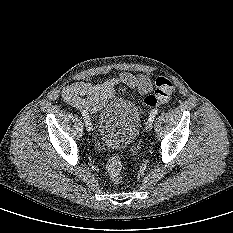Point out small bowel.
<instances>
[{
    "instance_id": "obj_1",
    "label": "small bowel",
    "mask_w": 233,
    "mask_h": 233,
    "mask_svg": "<svg viewBox=\"0 0 233 233\" xmlns=\"http://www.w3.org/2000/svg\"><path fill=\"white\" fill-rule=\"evenodd\" d=\"M122 83L123 88H137L145 95L151 92V80L145 75L122 73L119 78L93 85L85 82L73 83L62 91L63 99L76 109L86 112H95L115 94V85Z\"/></svg>"
}]
</instances>
